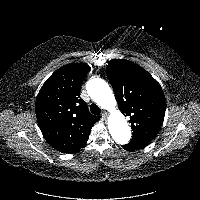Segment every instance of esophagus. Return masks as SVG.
Masks as SVG:
<instances>
[{"label":"esophagus","instance_id":"34e87169","mask_svg":"<svg viewBox=\"0 0 200 200\" xmlns=\"http://www.w3.org/2000/svg\"><path fill=\"white\" fill-rule=\"evenodd\" d=\"M107 116H108L107 112H103L102 115H101V118L103 120H105L107 118Z\"/></svg>","mask_w":200,"mask_h":200}]
</instances>
